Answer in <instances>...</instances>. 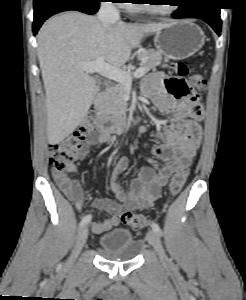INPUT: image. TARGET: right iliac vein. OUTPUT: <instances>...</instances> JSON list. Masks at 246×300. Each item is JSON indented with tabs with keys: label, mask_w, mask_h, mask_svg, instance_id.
I'll use <instances>...</instances> for the list:
<instances>
[{
	"label": "right iliac vein",
	"mask_w": 246,
	"mask_h": 300,
	"mask_svg": "<svg viewBox=\"0 0 246 300\" xmlns=\"http://www.w3.org/2000/svg\"><path fill=\"white\" fill-rule=\"evenodd\" d=\"M87 236H88V226L85 225V226H82V228L78 232L75 247L73 249L71 257L69 258V260L67 262V268H71L74 265V262L78 256V254L80 253L81 249L83 248L84 244L86 243Z\"/></svg>",
	"instance_id": "right-iliac-vein-1"
}]
</instances>
